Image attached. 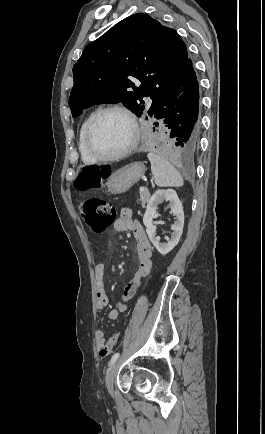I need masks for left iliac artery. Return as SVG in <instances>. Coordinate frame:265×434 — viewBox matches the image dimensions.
Here are the masks:
<instances>
[{
  "instance_id": "obj_1",
  "label": "left iliac artery",
  "mask_w": 265,
  "mask_h": 434,
  "mask_svg": "<svg viewBox=\"0 0 265 434\" xmlns=\"http://www.w3.org/2000/svg\"><path fill=\"white\" fill-rule=\"evenodd\" d=\"M119 356L120 353H115L110 359L109 366H112L118 360Z\"/></svg>"
}]
</instances>
